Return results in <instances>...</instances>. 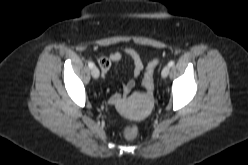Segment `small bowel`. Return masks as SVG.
<instances>
[{
	"mask_svg": "<svg viewBox=\"0 0 248 165\" xmlns=\"http://www.w3.org/2000/svg\"><path fill=\"white\" fill-rule=\"evenodd\" d=\"M124 56L128 57L133 63L132 77L123 83L121 92L115 93L112 96V103H118L122 96H128L133 91L136 80L139 78L144 68L143 60L140 53L131 47L124 48L122 52H112L109 55L101 56L98 59L102 75L105 77L108 75L112 63L120 61Z\"/></svg>",
	"mask_w": 248,
	"mask_h": 165,
	"instance_id": "small-bowel-1",
	"label": "small bowel"
}]
</instances>
